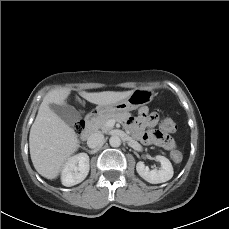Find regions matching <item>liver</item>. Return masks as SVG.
<instances>
[{
    "instance_id": "6515ba94",
    "label": "liver",
    "mask_w": 229,
    "mask_h": 229,
    "mask_svg": "<svg viewBox=\"0 0 229 229\" xmlns=\"http://www.w3.org/2000/svg\"><path fill=\"white\" fill-rule=\"evenodd\" d=\"M133 92L80 91L79 95L88 102L97 105H108L126 99ZM70 89L60 87L49 91L38 110V114L30 129V156L36 171L47 179H55L65 164L79 148V139L75 131L69 127L51 108L50 104L64 105ZM77 101H82L76 97Z\"/></svg>"
}]
</instances>
